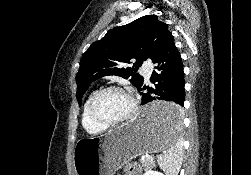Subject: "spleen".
I'll list each match as a JSON object with an SVG mask.
<instances>
[{"mask_svg":"<svg viewBox=\"0 0 251 175\" xmlns=\"http://www.w3.org/2000/svg\"><path fill=\"white\" fill-rule=\"evenodd\" d=\"M181 113V107H173L172 111L164 119L166 135L171 143L166 153L159 155L157 161L166 175H178L183 161V147L179 137Z\"/></svg>","mask_w":251,"mask_h":175,"instance_id":"1","label":"spleen"}]
</instances>
